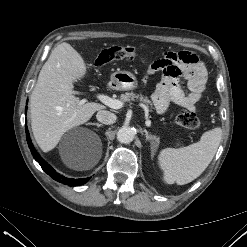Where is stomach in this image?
<instances>
[{
	"instance_id": "obj_1",
	"label": "stomach",
	"mask_w": 247,
	"mask_h": 247,
	"mask_svg": "<svg viewBox=\"0 0 247 247\" xmlns=\"http://www.w3.org/2000/svg\"><path fill=\"white\" fill-rule=\"evenodd\" d=\"M112 88L120 91L134 90L138 87L136 76L128 71H116L111 75Z\"/></svg>"
}]
</instances>
